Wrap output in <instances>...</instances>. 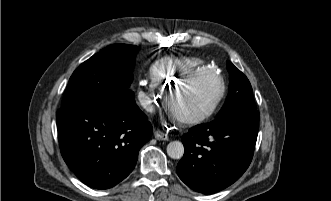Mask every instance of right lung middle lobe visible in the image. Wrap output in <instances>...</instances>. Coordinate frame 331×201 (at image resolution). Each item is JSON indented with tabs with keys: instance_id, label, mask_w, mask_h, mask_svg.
<instances>
[{
	"instance_id": "1",
	"label": "right lung middle lobe",
	"mask_w": 331,
	"mask_h": 201,
	"mask_svg": "<svg viewBox=\"0 0 331 201\" xmlns=\"http://www.w3.org/2000/svg\"><path fill=\"white\" fill-rule=\"evenodd\" d=\"M138 50L134 45L113 44L82 63L69 80L62 108L98 95L129 90Z\"/></svg>"
}]
</instances>
